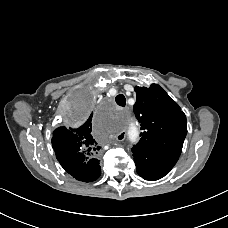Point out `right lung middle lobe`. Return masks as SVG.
<instances>
[{
	"label": "right lung middle lobe",
	"mask_w": 228,
	"mask_h": 228,
	"mask_svg": "<svg viewBox=\"0 0 228 228\" xmlns=\"http://www.w3.org/2000/svg\"><path fill=\"white\" fill-rule=\"evenodd\" d=\"M93 107V98L88 92H83L77 97V104L72 116L80 121L88 115Z\"/></svg>",
	"instance_id": "dd1d6c3e"
}]
</instances>
